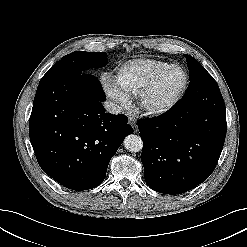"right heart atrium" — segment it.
Segmentation results:
<instances>
[{"instance_id": "obj_1", "label": "right heart atrium", "mask_w": 247, "mask_h": 247, "mask_svg": "<svg viewBox=\"0 0 247 247\" xmlns=\"http://www.w3.org/2000/svg\"><path fill=\"white\" fill-rule=\"evenodd\" d=\"M101 86L107 95L118 108H126L130 100L128 96L109 77H102Z\"/></svg>"}]
</instances>
